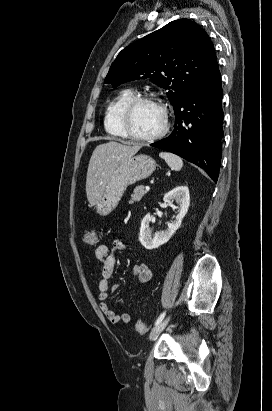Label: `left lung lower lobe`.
Wrapping results in <instances>:
<instances>
[{"label":"left lung lower lobe","instance_id":"left-lung-lower-lobe-1","mask_svg":"<svg viewBox=\"0 0 272 411\" xmlns=\"http://www.w3.org/2000/svg\"><path fill=\"white\" fill-rule=\"evenodd\" d=\"M174 113L171 135L151 146L183 157L217 181L223 137L222 86L217 61L181 98Z\"/></svg>","mask_w":272,"mask_h":411}]
</instances>
